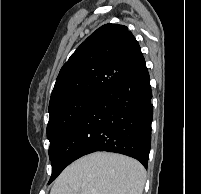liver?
Returning <instances> with one entry per match:
<instances>
[{"label":"liver","mask_w":201,"mask_h":194,"mask_svg":"<svg viewBox=\"0 0 201 194\" xmlns=\"http://www.w3.org/2000/svg\"><path fill=\"white\" fill-rule=\"evenodd\" d=\"M145 178L146 171L137 160L95 152L69 165L50 194H142Z\"/></svg>","instance_id":"liver-1"}]
</instances>
